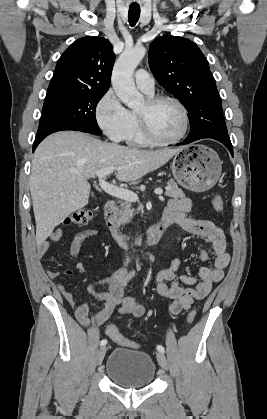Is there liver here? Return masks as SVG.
<instances>
[{
	"mask_svg": "<svg viewBox=\"0 0 267 419\" xmlns=\"http://www.w3.org/2000/svg\"><path fill=\"white\" fill-rule=\"evenodd\" d=\"M180 150H140L76 131L49 135L34 153L30 175L37 244L44 243L65 218L88 204V179L99 170L113 167L119 181L132 182L163 166Z\"/></svg>",
	"mask_w": 267,
	"mask_h": 419,
	"instance_id": "obj_1",
	"label": "liver"
}]
</instances>
